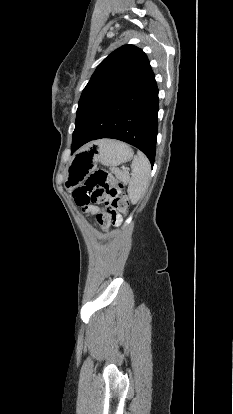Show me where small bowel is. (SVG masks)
<instances>
[{"label": "small bowel", "mask_w": 233, "mask_h": 414, "mask_svg": "<svg viewBox=\"0 0 233 414\" xmlns=\"http://www.w3.org/2000/svg\"><path fill=\"white\" fill-rule=\"evenodd\" d=\"M84 210L94 216H98V214L100 213L101 209L95 205H87V206H83ZM120 222V217H118L115 220V224H119Z\"/></svg>", "instance_id": "obj_1"}]
</instances>
